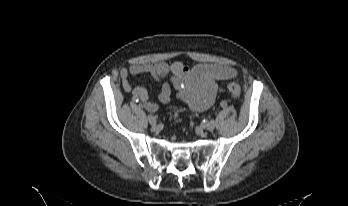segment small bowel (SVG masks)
Instances as JSON below:
<instances>
[{
	"label": "small bowel",
	"instance_id": "1",
	"mask_svg": "<svg viewBox=\"0 0 348 206\" xmlns=\"http://www.w3.org/2000/svg\"><path fill=\"white\" fill-rule=\"evenodd\" d=\"M140 74H149L161 83L159 93L161 103H169L172 90L175 89L177 97L191 110L201 112L214 103L217 82L236 77L237 71L223 65L203 63L190 66L182 62L133 64L128 68H122L120 78L123 89L132 94L134 101L141 102L148 112H155L158 110V105L150 100L147 90L143 87H134L130 80L131 75ZM167 78L170 83L164 81Z\"/></svg>",
	"mask_w": 348,
	"mask_h": 206
}]
</instances>
